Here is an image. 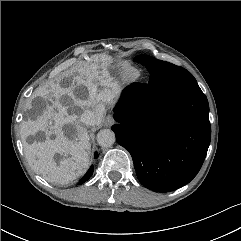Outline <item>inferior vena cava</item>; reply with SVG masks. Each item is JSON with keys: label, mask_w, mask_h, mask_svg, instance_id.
I'll use <instances>...</instances> for the list:
<instances>
[{"label": "inferior vena cava", "mask_w": 241, "mask_h": 241, "mask_svg": "<svg viewBox=\"0 0 241 241\" xmlns=\"http://www.w3.org/2000/svg\"><path fill=\"white\" fill-rule=\"evenodd\" d=\"M94 120L95 113L91 110H85L80 117V121L85 125H92L94 123Z\"/></svg>", "instance_id": "inferior-vena-cava-1"}]
</instances>
